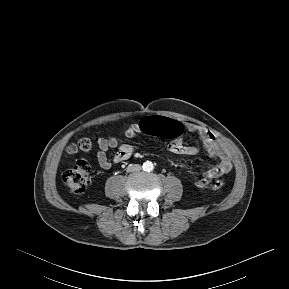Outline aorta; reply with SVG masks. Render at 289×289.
Listing matches in <instances>:
<instances>
[{
    "label": "aorta",
    "instance_id": "obj_1",
    "mask_svg": "<svg viewBox=\"0 0 289 289\" xmlns=\"http://www.w3.org/2000/svg\"><path fill=\"white\" fill-rule=\"evenodd\" d=\"M142 168L146 172H151L154 169V165L151 161H146L143 163Z\"/></svg>",
    "mask_w": 289,
    "mask_h": 289
}]
</instances>
